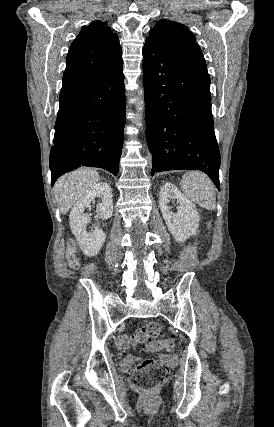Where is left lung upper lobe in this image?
Wrapping results in <instances>:
<instances>
[{"mask_svg": "<svg viewBox=\"0 0 274 427\" xmlns=\"http://www.w3.org/2000/svg\"><path fill=\"white\" fill-rule=\"evenodd\" d=\"M146 40L161 45L167 52L181 60L206 68L204 56L195 36L180 23L160 20L150 30V36Z\"/></svg>", "mask_w": 274, "mask_h": 427, "instance_id": "left-lung-upper-lobe-1", "label": "left lung upper lobe"}]
</instances>
